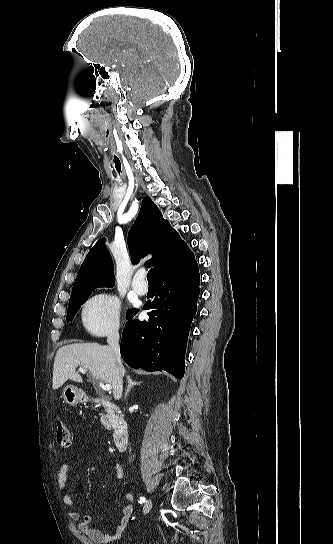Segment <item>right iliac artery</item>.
<instances>
[{"label":"right iliac artery","instance_id":"right-iliac-artery-1","mask_svg":"<svg viewBox=\"0 0 333 544\" xmlns=\"http://www.w3.org/2000/svg\"><path fill=\"white\" fill-rule=\"evenodd\" d=\"M145 500H146V499H145V497H140V499H139V503H140V504H142V503H144V502H145Z\"/></svg>","mask_w":333,"mask_h":544}]
</instances>
